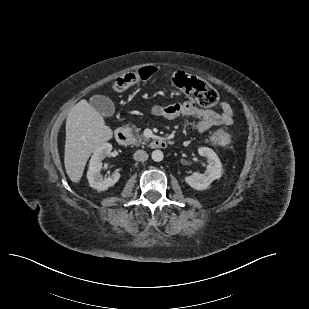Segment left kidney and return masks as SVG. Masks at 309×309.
<instances>
[{
    "instance_id": "1",
    "label": "left kidney",
    "mask_w": 309,
    "mask_h": 309,
    "mask_svg": "<svg viewBox=\"0 0 309 309\" xmlns=\"http://www.w3.org/2000/svg\"><path fill=\"white\" fill-rule=\"evenodd\" d=\"M200 156L206 157L208 165L204 174L194 173L185 177V182L196 190H206L210 184L221 178L222 165L217 154L208 147H200L198 149Z\"/></svg>"
}]
</instances>
